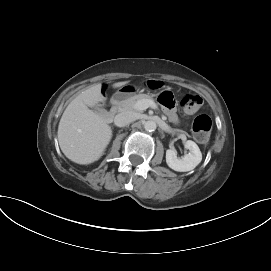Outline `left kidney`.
<instances>
[{"label": "left kidney", "mask_w": 271, "mask_h": 271, "mask_svg": "<svg viewBox=\"0 0 271 271\" xmlns=\"http://www.w3.org/2000/svg\"><path fill=\"white\" fill-rule=\"evenodd\" d=\"M185 147L190 152L182 158L177 157V151L174 148L166 151V162L171 169L178 172H187L194 169L201 162L202 153L195 142L187 140Z\"/></svg>", "instance_id": "left-kidney-1"}]
</instances>
